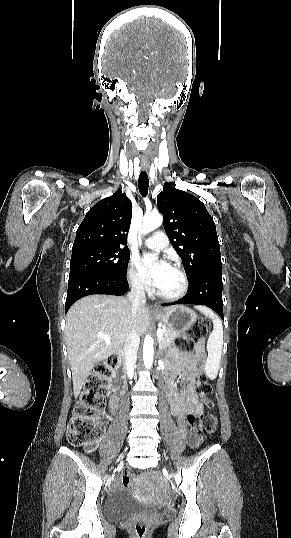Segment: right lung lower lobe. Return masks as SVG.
<instances>
[{"label": "right lung lower lobe", "mask_w": 291, "mask_h": 538, "mask_svg": "<svg viewBox=\"0 0 291 538\" xmlns=\"http://www.w3.org/2000/svg\"><path fill=\"white\" fill-rule=\"evenodd\" d=\"M129 289L126 277L83 273L69 277L65 311L78 299L92 294L123 295Z\"/></svg>", "instance_id": "obj_1"}]
</instances>
